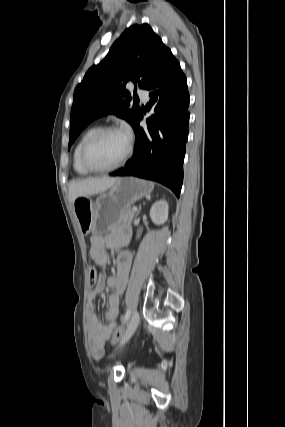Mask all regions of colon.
<instances>
[{"mask_svg":"<svg viewBox=\"0 0 285 427\" xmlns=\"http://www.w3.org/2000/svg\"><path fill=\"white\" fill-rule=\"evenodd\" d=\"M96 280H97L96 269L91 266L88 268V285L93 288L96 284ZM121 337H122V330L120 328L116 329L113 335L114 340L118 341L121 339Z\"/></svg>","mask_w":285,"mask_h":427,"instance_id":"1","label":"colon"}]
</instances>
